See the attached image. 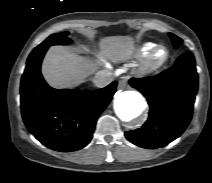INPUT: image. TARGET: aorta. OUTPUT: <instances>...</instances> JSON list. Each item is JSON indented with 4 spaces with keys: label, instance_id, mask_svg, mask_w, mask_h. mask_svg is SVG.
Instances as JSON below:
<instances>
[{
    "label": "aorta",
    "instance_id": "aorta-1",
    "mask_svg": "<svg viewBox=\"0 0 212 183\" xmlns=\"http://www.w3.org/2000/svg\"><path fill=\"white\" fill-rule=\"evenodd\" d=\"M146 108L144 97L136 91L119 93L114 101V109L122 121H132L138 118Z\"/></svg>",
    "mask_w": 212,
    "mask_h": 183
}]
</instances>
